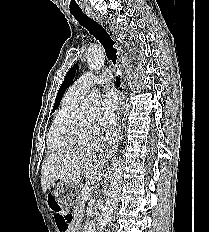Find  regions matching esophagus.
Instances as JSON below:
<instances>
[{
  "label": "esophagus",
  "mask_w": 209,
  "mask_h": 232,
  "mask_svg": "<svg viewBox=\"0 0 209 232\" xmlns=\"http://www.w3.org/2000/svg\"><path fill=\"white\" fill-rule=\"evenodd\" d=\"M85 13L90 16L92 19L96 20L97 22H100L99 16L92 10V9H85ZM118 73L121 76L122 70L118 69ZM118 85V83H117ZM120 90H121V100H120V105L118 108V114H122L124 110V105H125V96L123 92V82L121 81L120 85H118Z\"/></svg>",
  "instance_id": "esophagus-1"
}]
</instances>
